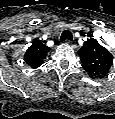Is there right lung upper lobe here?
Listing matches in <instances>:
<instances>
[{"instance_id":"obj_1","label":"right lung upper lobe","mask_w":115,"mask_h":119,"mask_svg":"<svg viewBox=\"0 0 115 119\" xmlns=\"http://www.w3.org/2000/svg\"><path fill=\"white\" fill-rule=\"evenodd\" d=\"M49 50V47L39 40H35V42L27 49L24 55V61L31 68H37L42 65Z\"/></svg>"}]
</instances>
